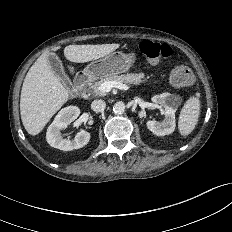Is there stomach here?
<instances>
[{
  "instance_id": "obj_1",
  "label": "stomach",
  "mask_w": 232,
  "mask_h": 232,
  "mask_svg": "<svg viewBox=\"0 0 232 232\" xmlns=\"http://www.w3.org/2000/svg\"><path fill=\"white\" fill-rule=\"evenodd\" d=\"M135 61V54L114 51L88 64L84 72L90 79L103 78L126 72Z\"/></svg>"
}]
</instances>
